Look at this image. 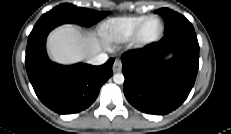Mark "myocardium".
Listing matches in <instances>:
<instances>
[{"label":"myocardium","mask_w":231,"mask_h":134,"mask_svg":"<svg viewBox=\"0 0 231 134\" xmlns=\"http://www.w3.org/2000/svg\"><path fill=\"white\" fill-rule=\"evenodd\" d=\"M152 19H157L160 22V30L154 37L150 39H146L144 38V35H143L144 29L147 23ZM164 29H165V25L161 17H159L158 15H149L137 27L135 33L133 34L131 38V43L133 47L136 49H144V48L150 47L161 39L164 33Z\"/></svg>","instance_id":"f54148a6"}]
</instances>
